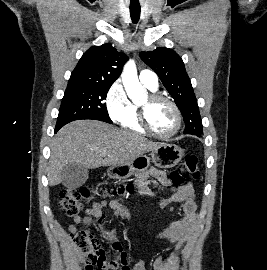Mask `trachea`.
Returning <instances> with one entry per match:
<instances>
[{"label": "trachea", "mask_w": 267, "mask_h": 270, "mask_svg": "<svg viewBox=\"0 0 267 270\" xmlns=\"http://www.w3.org/2000/svg\"><path fill=\"white\" fill-rule=\"evenodd\" d=\"M141 8L139 7H130V16L133 23H137L140 18Z\"/></svg>", "instance_id": "trachea-1"}]
</instances>
